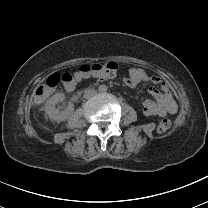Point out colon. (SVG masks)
<instances>
[{"label": "colon", "instance_id": "colon-1", "mask_svg": "<svg viewBox=\"0 0 208 208\" xmlns=\"http://www.w3.org/2000/svg\"><path fill=\"white\" fill-rule=\"evenodd\" d=\"M118 65L115 62H96V63H87L83 64L79 67V69L75 72L73 76V72L64 71L62 74L54 73L49 76L46 80L45 84L48 89H54L60 83H64V85L68 89H73L77 85V77H95L99 78L105 75H112L113 73H117ZM43 89H39L37 91V96H42L44 94ZM173 124V120L169 117L164 118L158 128L157 131L159 133H166L169 131Z\"/></svg>", "mask_w": 208, "mask_h": 208}]
</instances>
